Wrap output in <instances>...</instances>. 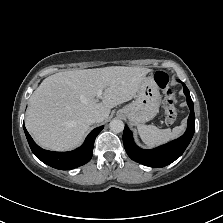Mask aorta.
<instances>
[{
  "mask_svg": "<svg viewBox=\"0 0 223 223\" xmlns=\"http://www.w3.org/2000/svg\"><path fill=\"white\" fill-rule=\"evenodd\" d=\"M110 130L115 133H120L124 130V122L119 119H113L110 122Z\"/></svg>",
  "mask_w": 223,
  "mask_h": 223,
  "instance_id": "762f6f07",
  "label": "aorta"
}]
</instances>
